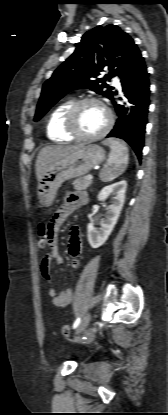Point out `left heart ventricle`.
I'll list each match as a JSON object with an SVG mask.
<instances>
[{
    "instance_id": "1",
    "label": "left heart ventricle",
    "mask_w": 168,
    "mask_h": 415,
    "mask_svg": "<svg viewBox=\"0 0 168 415\" xmlns=\"http://www.w3.org/2000/svg\"><path fill=\"white\" fill-rule=\"evenodd\" d=\"M107 121L105 110L98 104L89 103L77 114V128L84 135H93L103 129Z\"/></svg>"
}]
</instances>
